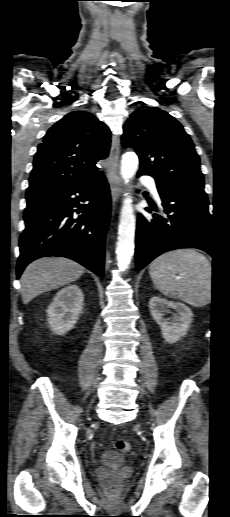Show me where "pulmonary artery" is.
I'll return each mask as SVG.
<instances>
[{"instance_id":"obj_1","label":"pulmonary artery","mask_w":230,"mask_h":517,"mask_svg":"<svg viewBox=\"0 0 230 517\" xmlns=\"http://www.w3.org/2000/svg\"><path fill=\"white\" fill-rule=\"evenodd\" d=\"M140 181L147 185L152 193V195L156 198V199H160V196H159V193H158V190H157V186H156V183H155V180L149 176H142Z\"/></svg>"}]
</instances>
